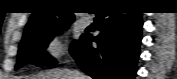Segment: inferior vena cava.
Instances as JSON below:
<instances>
[{"label": "inferior vena cava", "instance_id": "1", "mask_svg": "<svg viewBox=\"0 0 177 79\" xmlns=\"http://www.w3.org/2000/svg\"><path fill=\"white\" fill-rule=\"evenodd\" d=\"M73 78L74 79H84V76L78 70H73Z\"/></svg>", "mask_w": 177, "mask_h": 79}]
</instances>
